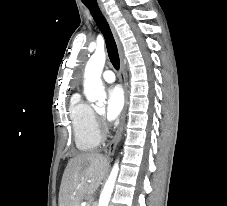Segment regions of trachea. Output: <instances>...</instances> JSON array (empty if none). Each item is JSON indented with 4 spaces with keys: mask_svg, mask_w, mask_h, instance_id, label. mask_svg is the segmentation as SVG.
Segmentation results:
<instances>
[{
    "mask_svg": "<svg viewBox=\"0 0 227 206\" xmlns=\"http://www.w3.org/2000/svg\"><path fill=\"white\" fill-rule=\"evenodd\" d=\"M83 3L90 10L92 17L94 18L97 26L99 27L100 31L104 36L108 56L112 65L116 70H119L120 60H119L117 45L115 43L111 29L106 19L102 15L96 0H89V2H83Z\"/></svg>",
    "mask_w": 227,
    "mask_h": 206,
    "instance_id": "3493384b",
    "label": "trachea"
}]
</instances>
